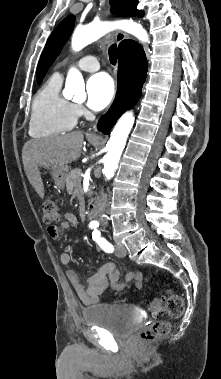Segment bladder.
Masks as SVG:
<instances>
[{
	"label": "bladder",
	"instance_id": "31cf9c89",
	"mask_svg": "<svg viewBox=\"0 0 221 379\" xmlns=\"http://www.w3.org/2000/svg\"><path fill=\"white\" fill-rule=\"evenodd\" d=\"M86 324L104 328L115 336H127L139 323L134 308L116 304H101L82 312Z\"/></svg>",
	"mask_w": 221,
	"mask_h": 379
}]
</instances>
